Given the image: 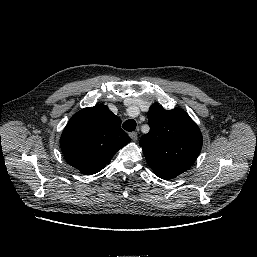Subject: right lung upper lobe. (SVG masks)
I'll list each match as a JSON object with an SVG mask.
<instances>
[{
	"mask_svg": "<svg viewBox=\"0 0 257 257\" xmlns=\"http://www.w3.org/2000/svg\"><path fill=\"white\" fill-rule=\"evenodd\" d=\"M130 142L121 120L105 105L74 114L60 139L66 161L85 175L102 170L115 153Z\"/></svg>",
	"mask_w": 257,
	"mask_h": 257,
	"instance_id": "cb5924a9",
	"label": "right lung upper lobe"
}]
</instances>
